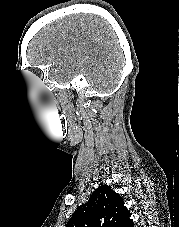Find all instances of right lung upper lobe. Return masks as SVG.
<instances>
[{"label":"right lung upper lobe","mask_w":179,"mask_h":227,"mask_svg":"<svg viewBox=\"0 0 179 227\" xmlns=\"http://www.w3.org/2000/svg\"><path fill=\"white\" fill-rule=\"evenodd\" d=\"M130 215L120 195L103 185L77 208L66 227H132Z\"/></svg>","instance_id":"right-lung-upper-lobe-1"}]
</instances>
